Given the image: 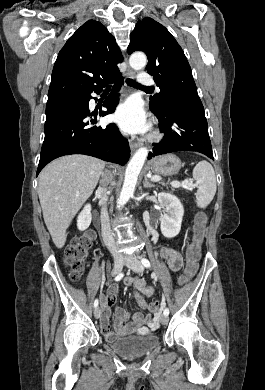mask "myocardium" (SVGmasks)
Wrapping results in <instances>:
<instances>
[{
  "instance_id": "f54148a6",
  "label": "myocardium",
  "mask_w": 265,
  "mask_h": 390,
  "mask_svg": "<svg viewBox=\"0 0 265 390\" xmlns=\"http://www.w3.org/2000/svg\"><path fill=\"white\" fill-rule=\"evenodd\" d=\"M156 138H158V133L157 132L152 134V139H156Z\"/></svg>"
}]
</instances>
